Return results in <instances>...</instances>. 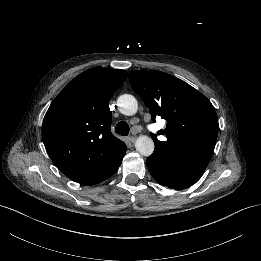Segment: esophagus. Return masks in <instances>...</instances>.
Wrapping results in <instances>:
<instances>
[{"label":"esophagus","instance_id":"esophagus-1","mask_svg":"<svg viewBox=\"0 0 261 261\" xmlns=\"http://www.w3.org/2000/svg\"><path fill=\"white\" fill-rule=\"evenodd\" d=\"M128 140H129L131 143H134V142H135V137H134V136H129V137H128Z\"/></svg>","mask_w":261,"mask_h":261}]
</instances>
